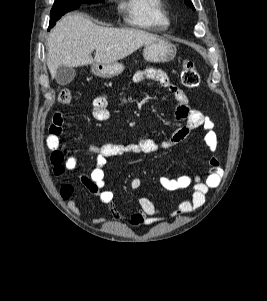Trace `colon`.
I'll return each mask as SVG.
<instances>
[{"label":"colon","mask_w":267,"mask_h":301,"mask_svg":"<svg viewBox=\"0 0 267 301\" xmlns=\"http://www.w3.org/2000/svg\"><path fill=\"white\" fill-rule=\"evenodd\" d=\"M181 82L187 88H194L199 84V73L191 61H186L183 63L181 68ZM72 100L71 91L67 88L60 90L58 94V101L62 104H68Z\"/></svg>","instance_id":"obj_1"}]
</instances>
